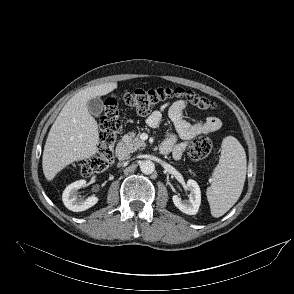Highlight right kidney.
<instances>
[{
    "label": "right kidney",
    "instance_id": "obj_1",
    "mask_svg": "<svg viewBox=\"0 0 294 294\" xmlns=\"http://www.w3.org/2000/svg\"><path fill=\"white\" fill-rule=\"evenodd\" d=\"M86 186V180H78L68 185L62 195V200L66 208L74 212H81L89 209L98 202L96 196L87 199L78 198L77 190Z\"/></svg>",
    "mask_w": 294,
    "mask_h": 294
}]
</instances>
